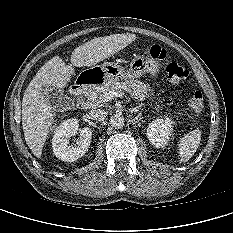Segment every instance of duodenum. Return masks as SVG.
Listing matches in <instances>:
<instances>
[{"label":"duodenum","instance_id":"410a0bca","mask_svg":"<svg viewBox=\"0 0 233 233\" xmlns=\"http://www.w3.org/2000/svg\"><path fill=\"white\" fill-rule=\"evenodd\" d=\"M101 77L96 74H85L80 76L76 82L71 86V93L75 96L81 95L88 87L99 83Z\"/></svg>","mask_w":233,"mask_h":233}]
</instances>
